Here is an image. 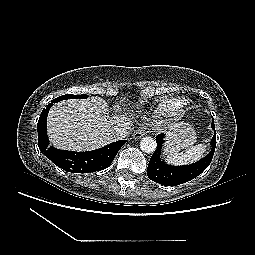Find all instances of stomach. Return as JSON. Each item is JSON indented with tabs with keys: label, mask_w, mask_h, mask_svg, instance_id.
I'll return each instance as SVG.
<instances>
[{
	"label": "stomach",
	"mask_w": 255,
	"mask_h": 255,
	"mask_svg": "<svg viewBox=\"0 0 255 255\" xmlns=\"http://www.w3.org/2000/svg\"><path fill=\"white\" fill-rule=\"evenodd\" d=\"M195 142L196 132L189 123H174L169 126L166 132L165 152L167 154L177 153L192 146Z\"/></svg>",
	"instance_id": "0dacf381"
}]
</instances>
